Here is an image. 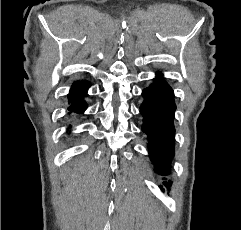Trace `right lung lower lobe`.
I'll use <instances>...</instances> for the list:
<instances>
[{
	"instance_id": "obj_1",
	"label": "right lung lower lobe",
	"mask_w": 241,
	"mask_h": 230,
	"mask_svg": "<svg viewBox=\"0 0 241 230\" xmlns=\"http://www.w3.org/2000/svg\"><path fill=\"white\" fill-rule=\"evenodd\" d=\"M90 83L87 81L74 82L68 94V111L70 113L82 114L88 107L85 97Z\"/></svg>"
}]
</instances>
